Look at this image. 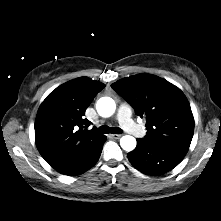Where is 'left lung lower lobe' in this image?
<instances>
[{"mask_svg":"<svg viewBox=\"0 0 221 221\" xmlns=\"http://www.w3.org/2000/svg\"><path fill=\"white\" fill-rule=\"evenodd\" d=\"M186 153L180 148L150 144L137 139V146L128 153V159L142 173L158 176L175 168Z\"/></svg>","mask_w":221,"mask_h":221,"instance_id":"1","label":"left lung lower lobe"}]
</instances>
